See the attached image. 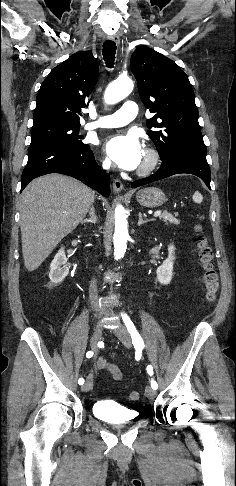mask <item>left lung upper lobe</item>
Segmentation results:
<instances>
[{"mask_svg": "<svg viewBox=\"0 0 236 486\" xmlns=\"http://www.w3.org/2000/svg\"><path fill=\"white\" fill-rule=\"evenodd\" d=\"M130 68L146 108L156 113L146 121L148 135L161 160L178 152L206 155L194 91L184 71L154 49L138 46Z\"/></svg>", "mask_w": 236, "mask_h": 486, "instance_id": "obj_1", "label": "left lung upper lobe"}]
</instances>
